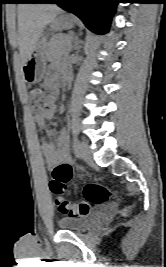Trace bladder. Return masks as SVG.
Listing matches in <instances>:
<instances>
[{"label":"bladder","mask_w":166,"mask_h":267,"mask_svg":"<svg viewBox=\"0 0 166 267\" xmlns=\"http://www.w3.org/2000/svg\"><path fill=\"white\" fill-rule=\"evenodd\" d=\"M96 219V214H87L78 217H64L58 221V226L62 230L80 231L87 229Z\"/></svg>","instance_id":"1"}]
</instances>
